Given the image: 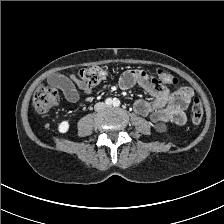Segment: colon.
Returning a JSON list of instances; mask_svg holds the SVG:
<instances>
[{"label": "colon", "instance_id": "5ec220e1", "mask_svg": "<svg viewBox=\"0 0 224 224\" xmlns=\"http://www.w3.org/2000/svg\"><path fill=\"white\" fill-rule=\"evenodd\" d=\"M81 79L88 85H96L104 80L108 75V70L104 67L92 65L80 70ZM161 81L174 84L176 79L166 71H159ZM58 90L53 85H41L38 87L33 98V107L39 114H46L57 105ZM204 114L202 101L195 96L191 102V120L197 125L202 121Z\"/></svg>", "mask_w": 224, "mask_h": 224}]
</instances>
